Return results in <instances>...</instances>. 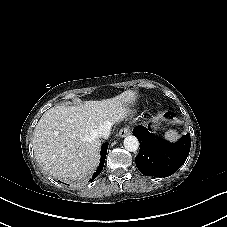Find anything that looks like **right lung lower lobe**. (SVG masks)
I'll list each match as a JSON object with an SVG mask.
<instances>
[{"mask_svg": "<svg viewBox=\"0 0 227 227\" xmlns=\"http://www.w3.org/2000/svg\"><path fill=\"white\" fill-rule=\"evenodd\" d=\"M107 148H108V143H104L101 147V160H100V164L96 170V172L93 174V177L91 179V181H93L102 171L103 167H104V162H105V158H106V154H107Z\"/></svg>", "mask_w": 227, "mask_h": 227, "instance_id": "right-lung-lower-lobe-1", "label": "right lung lower lobe"}]
</instances>
